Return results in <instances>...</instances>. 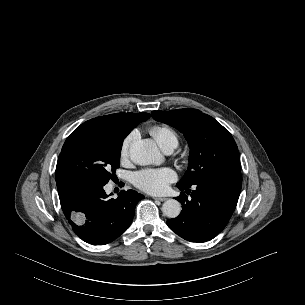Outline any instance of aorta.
<instances>
[{
  "label": "aorta",
  "instance_id": "obj_1",
  "mask_svg": "<svg viewBox=\"0 0 305 305\" xmlns=\"http://www.w3.org/2000/svg\"><path fill=\"white\" fill-rule=\"evenodd\" d=\"M129 153L131 160L138 165L158 164L162 161L157 145L148 139L132 143ZM162 211L168 218H176L181 212V204L175 199H168L163 203Z\"/></svg>",
  "mask_w": 305,
  "mask_h": 305
}]
</instances>
